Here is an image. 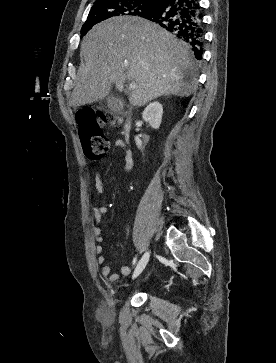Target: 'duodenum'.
Here are the masks:
<instances>
[{
    "mask_svg": "<svg viewBox=\"0 0 276 363\" xmlns=\"http://www.w3.org/2000/svg\"><path fill=\"white\" fill-rule=\"evenodd\" d=\"M131 128H132V114L128 112L126 113V119L124 122L123 132H122L125 140L129 138Z\"/></svg>",
    "mask_w": 276,
    "mask_h": 363,
    "instance_id": "1",
    "label": "duodenum"
}]
</instances>
